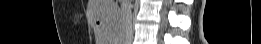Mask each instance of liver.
I'll return each instance as SVG.
<instances>
[{
    "label": "liver",
    "mask_w": 261,
    "mask_h": 44,
    "mask_svg": "<svg viewBox=\"0 0 261 44\" xmlns=\"http://www.w3.org/2000/svg\"><path fill=\"white\" fill-rule=\"evenodd\" d=\"M114 0H89L88 14L93 19V24H124V14L119 13V8H115ZM97 30L96 44H120L123 40V30H119V25H95Z\"/></svg>",
    "instance_id": "liver-1"
}]
</instances>
